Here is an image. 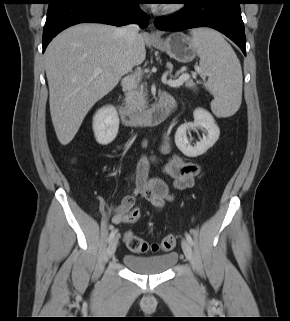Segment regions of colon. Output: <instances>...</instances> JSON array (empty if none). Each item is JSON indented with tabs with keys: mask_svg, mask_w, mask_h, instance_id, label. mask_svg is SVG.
I'll return each mask as SVG.
<instances>
[{
	"mask_svg": "<svg viewBox=\"0 0 290 321\" xmlns=\"http://www.w3.org/2000/svg\"><path fill=\"white\" fill-rule=\"evenodd\" d=\"M139 217L140 211L134 209L128 214V222H135ZM124 241L129 250L137 253L169 252L176 245V237L172 234L166 235L158 242H148L132 231H127L124 234Z\"/></svg>",
	"mask_w": 290,
	"mask_h": 321,
	"instance_id": "obj_1",
	"label": "colon"
}]
</instances>
